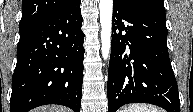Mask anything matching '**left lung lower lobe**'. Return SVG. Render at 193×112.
Instances as JSON below:
<instances>
[{
  "label": "left lung lower lobe",
  "mask_w": 193,
  "mask_h": 112,
  "mask_svg": "<svg viewBox=\"0 0 193 112\" xmlns=\"http://www.w3.org/2000/svg\"><path fill=\"white\" fill-rule=\"evenodd\" d=\"M112 32L108 111L116 112L129 103H150L180 112L166 42L165 10L127 11L114 4Z\"/></svg>",
  "instance_id": "1"
}]
</instances>
